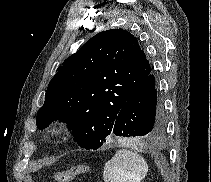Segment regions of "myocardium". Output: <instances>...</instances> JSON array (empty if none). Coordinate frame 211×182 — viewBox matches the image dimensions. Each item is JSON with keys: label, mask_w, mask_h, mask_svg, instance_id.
<instances>
[{"label": "myocardium", "mask_w": 211, "mask_h": 182, "mask_svg": "<svg viewBox=\"0 0 211 182\" xmlns=\"http://www.w3.org/2000/svg\"><path fill=\"white\" fill-rule=\"evenodd\" d=\"M67 131V124L60 121L52 122L43 131L44 138L54 139L61 137Z\"/></svg>", "instance_id": "obj_1"}]
</instances>
